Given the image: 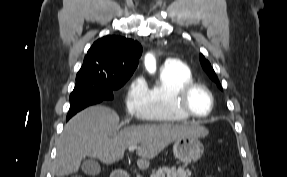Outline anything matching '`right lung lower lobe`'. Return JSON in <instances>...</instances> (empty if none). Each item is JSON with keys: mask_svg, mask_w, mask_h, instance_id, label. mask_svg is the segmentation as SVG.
Returning <instances> with one entry per match:
<instances>
[{"mask_svg": "<svg viewBox=\"0 0 287 177\" xmlns=\"http://www.w3.org/2000/svg\"><path fill=\"white\" fill-rule=\"evenodd\" d=\"M100 102L102 101L96 98H83L80 100L72 101L66 120L71 118L73 115H75L77 112L81 111L82 109L90 105L98 104Z\"/></svg>", "mask_w": 287, "mask_h": 177, "instance_id": "obj_1", "label": "right lung lower lobe"}]
</instances>
